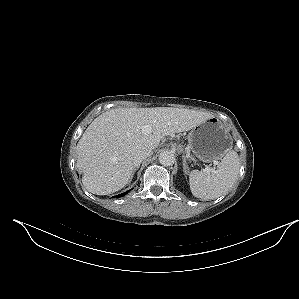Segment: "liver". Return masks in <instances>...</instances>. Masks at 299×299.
Masks as SVG:
<instances>
[{"label": "liver", "instance_id": "1", "mask_svg": "<svg viewBox=\"0 0 299 299\" xmlns=\"http://www.w3.org/2000/svg\"><path fill=\"white\" fill-rule=\"evenodd\" d=\"M211 117L207 112L172 107L116 108L102 113L77 144L83 185L97 195L121 190L130 182L137 151L154 150L165 136L189 131ZM144 125L152 127L150 134L142 132Z\"/></svg>", "mask_w": 299, "mask_h": 299}]
</instances>
